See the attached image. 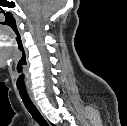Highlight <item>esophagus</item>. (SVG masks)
<instances>
[{"label": "esophagus", "instance_id": "34e87169", "mask_svg": "<svg viewBox=\"0 0 127 126\" xmlns=\"http://www.w3.org/2000/svg\"><path fill=\"white\" fill-rule=\"evenodd\" d=\"M28 94H29V97L30 99L32 100V102L34 103V105L38 108L37 104H36V101L34 99V95L32 93V91H28ZM46 121V120H45Z\"/></svg>", "mask_w": 127, "mask_h": 126}]
</instances>
